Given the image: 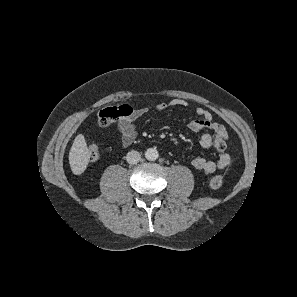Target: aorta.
Here are the masks:
<instances>
[{
  "mask_svg": "<svg viewBox=\"0 0 297 297\" xmlns=\"http://www.w3.org/2000/svg\"><path fill=\"white\" fill-rule=\"evenodd\" d=\"M158 151L155 148H149L145 152V157L147 160L155 161L158 159Z\"/></svg>",
  "mask_w": 297,
  "mask_h": 297,
  "instance_id": "aorta-1",
  "label": "aorta"
}]
</instances>
